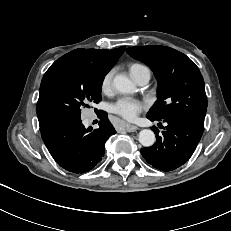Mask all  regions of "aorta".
Returning <instances> with one entry per match:
<instances>
[{"mask_svg": "<svg viewBox=\"0 0 231 231\" xmlns=\"http://www.w3.org/2000/svg\"><path fill=\"white\" fill-rule=\"evenodd\" d=\"M113 86L117 91L123 94H130L135 91V85L122 74H118L114 77ZM138 140L144 147H150L155 143L156 138L152 130L143 129L139 132Z\"/></svg>", "mask_w": 231, "mask_h": 231, "instance_id": "obj_1", "label": "aorta"}]
</instances>
